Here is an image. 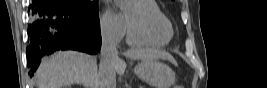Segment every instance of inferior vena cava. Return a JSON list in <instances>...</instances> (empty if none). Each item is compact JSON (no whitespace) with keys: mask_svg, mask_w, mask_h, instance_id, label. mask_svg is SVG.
<instances>
[{"mask_svg":"<svg viewBox=\"0 0 267 88\" xmlns=\"http://www.w3.org/2000/svg\"><path fill=\"white\" fill-rule=\"evenodd\" d=\"M102 45L100 54V66L98 73V88H115L116 78L114 62L118 59V51L113 30L103 25L101 28Z\"/></svg>","mask_w":267,"mask_h":88,"instance_id":"602c4592","label":"inferior vena cava"}]
</instances>
